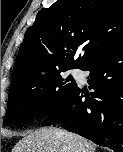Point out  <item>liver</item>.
I'll list each match as a JSON object with an SVG mask.
<instances>
[{"label":"liver","instance_id":"liver-1","mask_svg":"<svg viewBox=\"0 0 123 152\" xmlns=\"http://www.w3.org/2000/svg\"><path fill=\"white\" fill-rule=\"evenodd\" d=\"M96 145L84 137L55 127L28 133L12 152H95Z\"/></svg>","mask_w":123,"mask_h":152}]
</instances>
